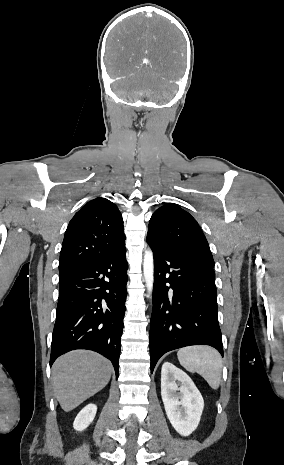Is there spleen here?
Returning <instances> with one entry per match:
<instances>
[{
	"label": "spleen",
	"mask_w": 284,
	"mask_h": 465,
	"mask_svg": "<svg viewBox=\"0 0 284 465\" xmlns=\"http://www.w3.org/2000/svg\"><path fill=\"white\" fill-rule=\"evenodd\" d=\"M178 361L189 373L201 375L211 389H218L221 381L222 359L212 347H184L177 353Z\"/></svg>",
	"instance_id": "spleen-1"
}]
</instances>
